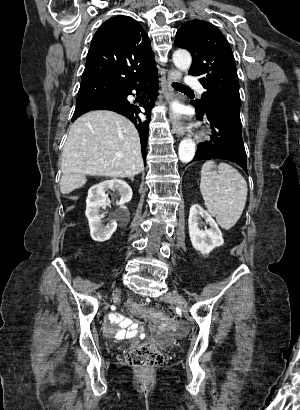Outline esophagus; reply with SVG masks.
Instances as JSON below:
<instances>
[{"mask_svg": "<svg viewBox=\"0 0 300 410\" xmlns=\"http://www.w3.org/2000/svg\"><path fill=\"white\" fill-rule=\"evenodd\" d=\"M181 78V74L177 70H171L168 74V90H169V99L174 97V92L172 88V83L175 81H179ZM172 131L176 133L179 137L184 134V124L180 120L174 119L172 121Z\"/></svg>", "mask_w": 300, "mask_h": 410, "instance_id": "esophagus-1", "label": "esophagus"}]
</instances>
